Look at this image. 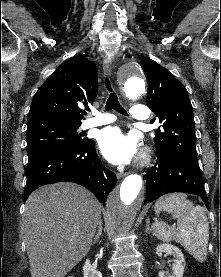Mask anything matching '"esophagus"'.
<instances>
[{"label": "esophagus", "mask_w": 221, "mask_h": 277, "mask_svg": "<svg viewBox=\"0 0 221 277\" xmlns=\"http://www.w3.org/2000/svg\"><path fill=\"white\" fill-rule=\"evenodd\" d=\"M103 69H104V72L105 74L107 75H110L111 74V71H112V61L110 58L106 57L103 61ZM126 176V173H123V172H120V173H117V178L120 179V178H123Z\"/></svg>", "instance_id": "1"}]
</instances>
